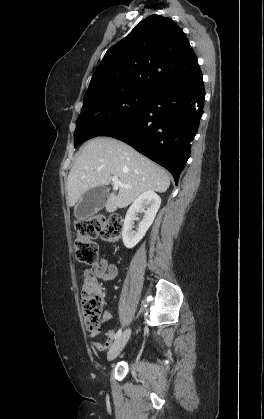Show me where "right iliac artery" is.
Returning a JSON list of instances; mask_svg holds the SVG:
<instances>
[{"label":"right iliac artery","instance_id":"1","mask_svg":"<svg viewBox=\"0 0 264 419\" xmlns=\"http://www.w3.org/2000/svg\"><path fill=\"white\" fill-rule=\"evenodd\" d=\"M121 334H122V329L120 328L115 335V340L118 339L121 336Z\"/></svg>","mask_w":264,"mask_h":419}]
</instances>
